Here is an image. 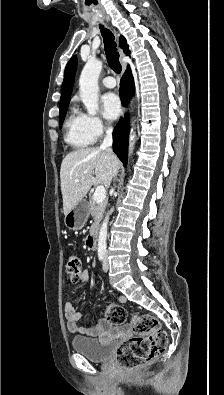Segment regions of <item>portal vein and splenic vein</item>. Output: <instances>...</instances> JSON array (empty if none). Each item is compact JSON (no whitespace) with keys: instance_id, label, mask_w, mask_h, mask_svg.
<instances>
[{"instance_id":"18ae733b","label":"portal vein and splenic vein","mask_w":224,"mask_h":395,"mask_svg":"<svg viewBox=\"0 0 224 395\" xmlns=\"http://www.w3.org/2000/svg\"><path fill=\"white\" fill-rule=\"evenodd\" d=\"M86 172H84L85 174ZM106 198V190L105 187L103 185L97 186L96 190L94 192L93 195V199L97 202L100 203L102 201H104Z\"/></svg>"}]
</instances>
